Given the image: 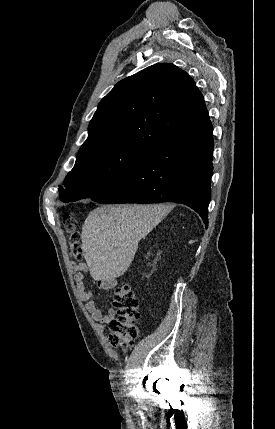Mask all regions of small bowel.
I'll return each mask as SVG.
<instances>
[{
  "instance_id": "c3829d8e",
  "label": "small bowel",
  "mask_w": 275,
  "mask_h": 429,
  "mask_svg": "<svg viewBox=\"0 0 275 429\" xmlns=\"http://www.w3.org/2000/svg\"><path fill=\"white\" fill-rule=\"evenodd\" d=\"M85 270V264L73 266V271L75 272L74 279L78 286L79 297L85 303V309L94 321L98 323H108L115 317L116 310L110 308L107 313H103L102 310L97 307L96 302L92 299V293L84 286ZM99 286L102 289H109L111 288V283L108 281H99Z\"/></svg>"
}]
</instances>
